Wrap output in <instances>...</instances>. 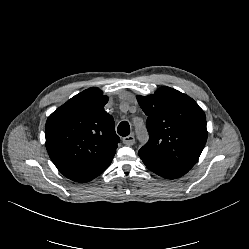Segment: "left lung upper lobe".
Returning <instances> with one entry per match:
<instances>
[{
    "instance_id": "1",
    "label": "left lung upper lobe",
    "mask_w": 249,
    "mask_h": 249,
    "mask_svg": "<svg viewBox=\"0 0 249 249\" xmlns=\"http://www.w3.org/2000/svg\"><path fill=\"white\" fill-rule=\"evenodd\" d=\"M147 118L148 142L139 150L143 160H159L190 170L207 140L206 116L186 94L161 87L154 94L137 96Z\"/></svg>"
}]
</instances>
